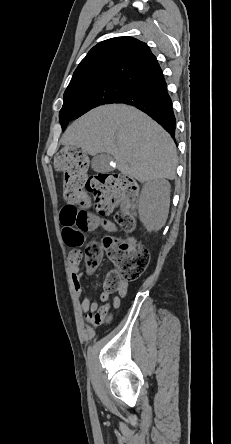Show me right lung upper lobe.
<instances>
[{
  "label": "right lung upper lobe",
  "mask_w": 231,
  "mask_h": 444,
  "mask_svg": "<svg viewBox=\"0 0 231 444\" xmlns=\"http://www.w3.org/2000/svg\"><path fill=\"white\" fill-rule=\"evenodd\" d=\"M162 75L156 57L144 42L116 37L98 43L76 68L66 90L105 83L131 87Z\"/></svg>",
  "instance_id": "cb5924a9"
}]
</instances>
